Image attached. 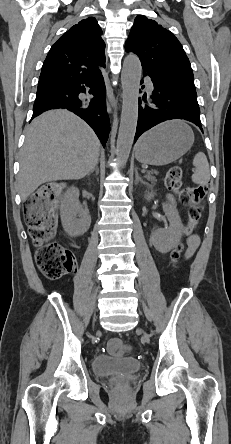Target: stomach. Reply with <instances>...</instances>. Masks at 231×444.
I'll return each mask as SVG.
<instances>
[{"label": "stomach", "mask_w": 231, "mask_h": 444, "mask_svg": "<svg viewBox=\"0 0 231 444\" xmlns=\"http://www.w3.org/2000/svg\"><path fill=\"white\" fill-rule=\"evenodd\" d=\"M193 142L192 129L181 120H171L146 132L136 145L135 155L145 164L167 165L183 156Z\"/></svg>", "instance_id": "0dacf381"}]
</instances>
